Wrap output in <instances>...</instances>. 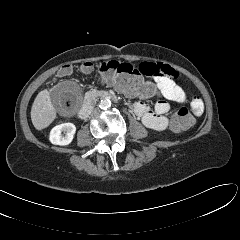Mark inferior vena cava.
Returning a JSON list of instances; mask_svg holds the SVG:
<instances>
[{"label":"inferior vena cava","instance_id":"obj_1","mask_svg":"<svg viewBox=\"0 0 240 240\" xmlns=\"http://www.w3.org/2000/svg\"><path fill=\"white\" fill-rule=\"evenodd\" d=\"M93 111L96 112V110H93L92 106H86L81 110L82 117H88Z\"/></svg>","mask_w":240,"mask_h":240}]
</instances>
